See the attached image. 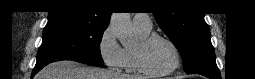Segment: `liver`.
<instances>
[{"label": "liver", "instance_id": "obj_1", "mask_svg": "<svg viewBox=\"0 0 255 79\" xmlns=\"http://www.w3.org/2000/svg\"><path fill=\"white\" fill-rule=\"evenodd\" d=\"M35 79H142L118 74L112 70L93 68L79 62L64 60L47 65Z\"/></svg>", "mask_w": 255, "mask_h": 79}]
</instances>
